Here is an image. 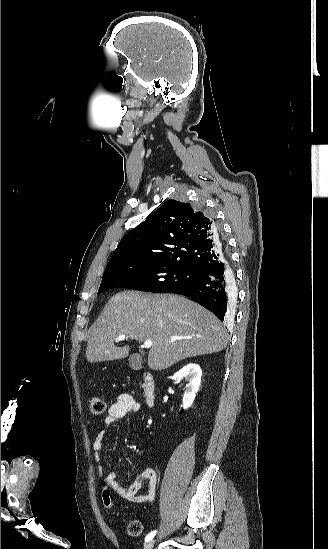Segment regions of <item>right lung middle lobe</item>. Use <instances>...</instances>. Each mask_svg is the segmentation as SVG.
Wrapping results in <instances>:
<instances>
[{
    "instance_id": "1",
    "label": "right lung middle lobe",
    "mask_w": 328,
    "mask_h": 549,
    "mask_svg": "<svg viewBox=\"0 0 328 549\" xmlns=\"http://www.w3.org/2000/svg\"><path fill=\"white\" fill-rule=\"evenodd\" d=\"M191 268L152 261H125L106 270L98 293L114 287L166 292L199 277Z\"/></svg>"
}]
</instances>
